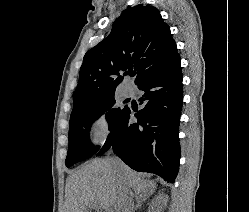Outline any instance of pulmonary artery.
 I'll use <instances>...</instances> for the list:
<instances>
[{"label":"pulmonary artery","mask_w":249,"mask_h":212,"mask_svg":"<svg viewBox=\"0 0 249 212\" xmlns=\"http://www.w3.org/2000/svg\"><path fill=\"white\" fill-rule=\"evenodd\" d=\"M128 80V78H127ZM122 96L124 98H129L134 96V89L133 86L130 82H127L126 85L124 86L123 90H122Z\"/></svg>","instance_id":"pulmonary-artery-1"}]
</instances>
